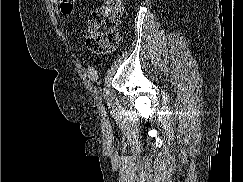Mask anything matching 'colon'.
<instances>
[{
    "instance_id": "5ec220e1",
    "label": "colon",
    "mask_w": 243,
    "mask_h": 182,
    "mask_svg": "<svg viewBox=\"0 0 243 182\" xmlns=\"http://www.w3.org/2000/svg\"><path fill=\"white\" fill-rule=\"evenodd\" d=\"M76 0H60L59 7L64 15L74 10ZM122 12V0H104L103 4L92 10L88 17L85 32L87 46L95 53L110 52L117 44L116 28Z\"/></svg>"
}]
</instances>
